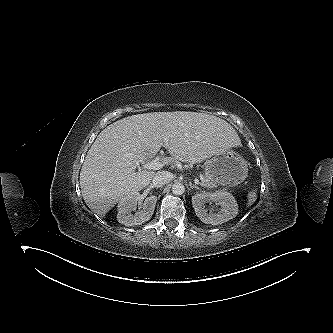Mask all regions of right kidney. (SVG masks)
<instances>
[{
    "instance_id": "obj_1",
    "label": "right kidney",
    "mask_w": 333,
    "mask_h": 333,
    "mask_svg": "<svg viewBox=\"0 0 333 333\" xmlns=\"http://www.w3.org/2000/svg\"><path fill=\"white\" fill-rule=\"evenodd\" d=\"M139 198L140 194L138 192H132L119 201L117 206V220L119 223L125 226H135L148 221L152 217L157 201L156 196L152 195L146 198L144 203L140 205L139 210L132 214V211L137 208Z\"/></svg>"
}]
</instances>
